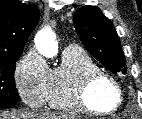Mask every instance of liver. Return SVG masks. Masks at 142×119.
<instances>
[{"mask_svg":"<svg viewBox=\"0 0 142 119\" xmlns=\"http://www.w3.org/2000/svg\"><path fill=\"white\" fill-rule=\"evenodd\" d=\"M0 119H68V117L49 111H23L13 114H1Z\"/></svg>","mask_w":142,"mask_h":119,"instance_id":"obj_1","label":"liver"}]
</instances>
